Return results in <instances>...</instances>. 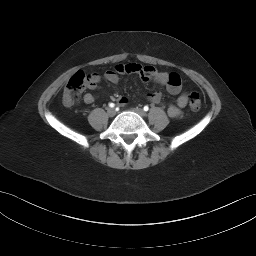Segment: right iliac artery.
<instances>
[{
    "instance_id": "obj_1",
    "label": "right iliac artery",
    "mask_w": 256,
    "mask_h": 256,
    "mask_svg": "<svg viewBox=\"0 0 256 256\" xmlns=\"http://www.w3.org/2000/svg\"><path fill=\"white\" fill-rule=\"evenodd\" d=\"M115 106L114 103H109V107L113 108Z\"/></svg>"
}]
</instances>
